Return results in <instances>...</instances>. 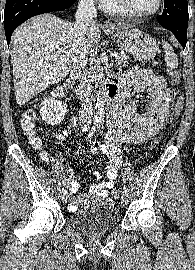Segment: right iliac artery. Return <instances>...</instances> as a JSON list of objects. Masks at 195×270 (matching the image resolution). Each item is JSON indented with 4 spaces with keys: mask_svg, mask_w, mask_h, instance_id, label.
Wrapping results in <instances>:
<instances>
[{
    "mask_svg": "<svg viewBox=\"0 0 195 270\" xmlns=\"http://www.w3.org/2000/svg\"><path fill=\"white\" fill-rule=\"evenodd\" d=\"M95 130H96V126L93 125L92 128H91V130H90L89 133H88V139H91V137L93 136ZM66 182H67V179L65 178V179L63 180V184L65 185Z\"/></svg>",
    "mask_w": 195,
    "mask_h": 270,
    "instance_id": "right-iliac-artery-1",
    "label": "right iliac artery"
}]
</instances>
